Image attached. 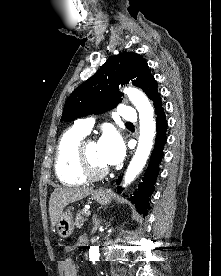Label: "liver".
Listing matches in <instances>:
<instances>
[{
    "mask_svg": "<svg viewBox=\"0 0 221 276\" xmlns=\"http://www.w3.org/2000/svg\"><path fill=\"white\" fill-rule=\"evenodd\" d=\"M94 192L93 188H74L60 187L56 188L50 197L49 215L51 225L54 227L60 218L63 209L70 203L79 201Z\"/></svg>",
    "mask_w": 221,
    "mask_h": 276,
    "instance_id": "liver-1",
    "label": "liver"
}]
</instances>
